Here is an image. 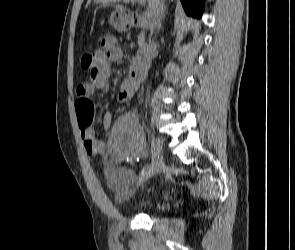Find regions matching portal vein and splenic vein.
<instances>
[{
    "label": "portal vein and splenic vein",
    "mask_w": 295,
    "mask_h": 250,
    "mask_svg": "<svg viewBox=\"0 0 295 250\" xmlns=\"http://www.w3.org/2000/svg\"><path fill=\"white\" fill-rule=\"evenodd\" d=\"M125 2H129L131 1L132 3H138V4H144L145 0H124ZM151 14V10L149 8H147L146 10V15H150Z\"/></svg>",
    "instance_id": "portal-vein-and-splenic-vein-1"
}]
</instances>
